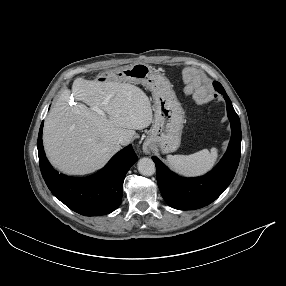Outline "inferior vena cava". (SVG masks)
<instances>
[{"mask_svg": "<svg viewBox=\"0 0 286 286\" xmlns=\"http://www.w3.org/2000/svg\"><path fill=\"white\" fill-rule=\"evenodd\" d=\"M118 143H119V144H122V145H125V144H126V140H125L124 138L120 137V138L118 139Z\"/></svg>", "mask_w": 286, "mask_h": 286, "instance_id": "inferior-vena-cava-1", "label": "inferior vena cava"}]
</instances>
